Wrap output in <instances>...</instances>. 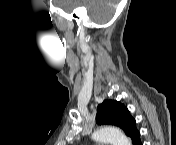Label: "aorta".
Listing matches in <instances>:
<instances>
[{"label": "aorta", "instance_id": "aorta-1", "mask_svg": "<svg viewBox=\"0 0 176 145\" xmlns=\"http://www.w3.org/2000/svg\"><path fill=\"white\" fill-rule=\"evenodd\" d=\"M93 140L111 145H131V141L117 128L101 127L93 135Z\"/></svg>", "mask_w": 176, "mask_h": 145}]
</instances>
